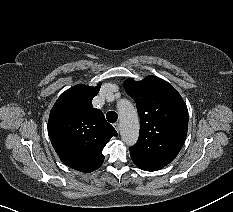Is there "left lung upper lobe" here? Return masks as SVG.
I'll use <instances>...</instances> for the list:
<instances>
[{"label": "left lung upper lobe", "instance_id": "left-lung-upper-lobe-1", "mask_svg": "<svg viewBox=\"0 0 233 212\" xmlns=\"http://www.w3.org/2000/svg\"><path fill=\"white\" fill-rule=\"evenodd\" d=\"M127 93L135 100L141 119L139 139L130 156L141 165L161 169L181 150L188 129V110L180 94L156 76L127 79Z\"/></svg>", "mask_w": 233, "mask_h": 212}]
</instances>
